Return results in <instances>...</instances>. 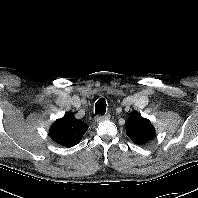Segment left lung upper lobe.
<instances>
[{"label":"left lung upper lobe","instance_id":"obj_1","mask_svg":"<svg viewBox=\"0 0 198 198\" xmlns=\"http://www.w3.org/2000/svg\"><path fill=\"white\" fill-rule=\"evenodd\" d=\"M127 136L136 144L142 145L153 139L155 130L146 118L134 112L125 123Z\"/></svg>","mask_w":198,"mask_h":198}]
</instances>
